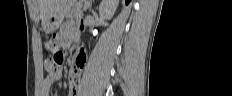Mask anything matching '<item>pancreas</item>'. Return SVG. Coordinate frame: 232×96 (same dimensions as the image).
<instances>
[{"instance_id": "obj_1", "label": "pancreas", "mask_w": 232, "mask_h": 96, "mask_svg": "<svg viewBox=\"0 0 232 96\" xmlns=\"http://www.w3.org/2000/svg\"><path fill=\"white\" fill-rule=\"evenodd\" d=\"M85 10V7L82 3H79L78 5H74L65 13L66 18H72V17H78L82 15L83 11Z\"/></svg>"}]
</instances>
